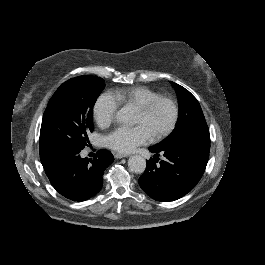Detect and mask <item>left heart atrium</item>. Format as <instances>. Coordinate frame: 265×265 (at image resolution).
Instances as JSON below:
<instances>
[{"label":"left heart atrium","instance_id":"1","mask_svg":"<svg viewBox=\"0 0 265 265\" xmlns=\"http://www.w3.org/2000/svg\"><path fill=\"white\" fill-rule=\"evenodd\" d=\"M153 136L144 125L135 127L120 126L105 137L107 146L115 151L129 153L138 146L147 144Z\"/></svg>","mask_w":265,"mask_h":265}]
</instances>
